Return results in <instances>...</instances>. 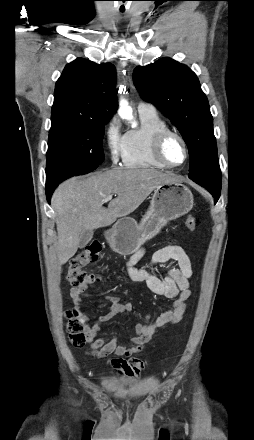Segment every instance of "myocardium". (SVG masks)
I'll use <instances>...</instances> for the list:
<instances>
[{
    "label": "myocardium",
    "mask_w": 254,
    "mask_h": 440,
    "mask_svg": "<svg viewBox=\"0 0 254 440\" xmlns=\"http://www.w3.org/2000/svg\"><path fill=\"white\" fill-rule=\"evenodd\" d=\"M170 137L177 138L183 146L184 159L180 164H173V163L169 162L164 156V145H165L166 141L168 140V138H170ZM152 153H153L154 158L159 163L166 166L167 168H178V167H181L182 165H184L186 163V161L188 160L189 148H188V144H187L185 138L179 132H177L173 129H170V128H165V129H162L159 132H157L156 135L154 136L153 143H152Z\"/></svg>",
    "instance_id": "myocardium-1"
}]
</instances>
